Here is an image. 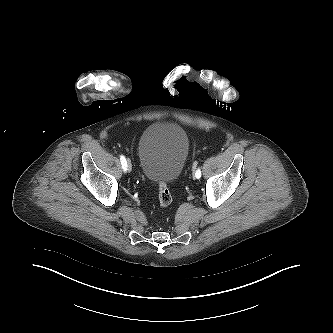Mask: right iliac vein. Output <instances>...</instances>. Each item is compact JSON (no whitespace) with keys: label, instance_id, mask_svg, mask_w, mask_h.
Instances as JSON below:
<instances>
[{"label":"right iliac vein","instance_id":"obj_1","mask_svg":"<svg viewBox=\"0 0 333 333\" xmlns=\"http://www.w3.org/2000/svg\"><path fill=\"white\" fill-rule=\"evenodd\" d=\"M127 170L130 172L132 170V164L129 159H127Z\"/></svg>","mask_w":333,"mask_h":333}]
</instances>
